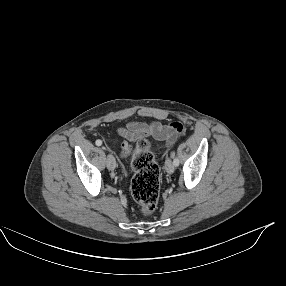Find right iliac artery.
I'll return each instance as SVG.
<instances>
[{
  "mask_svg": "<svg viewBox=\"0 0 286 286\" xmlns=\"http://www.w3.org/2000/svg\"><path fill=\"white\" fill-rule=\"evenodd\" d=\"M95 143H96V145H97V146H101L102 141H101V140H96V142H95Z\"/></svg>",
  "mask_w": 286,
  "mask_h": 286,
  "instance_id": "82829eb1",
  "label": "right iliac artery"
}]
</instances>
